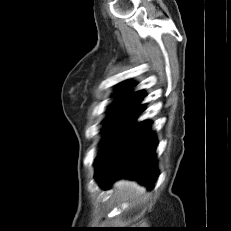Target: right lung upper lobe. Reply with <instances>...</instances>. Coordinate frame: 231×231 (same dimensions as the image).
<instances>
[{"instance_id": "right-lung-upper-lobe-1", "label": "right lung upper lobe", "mask_w": 231, "mask_h": 231, "mask_svg": "<svg viewBox=\"0 0 231 231\" xmlns=\"http://www.w3.org/2000/svg\"><path fill=\"white\" fill-rule=\"evenodd\" d=\"M135 84H125L117 89L115 95H120L119 99H130L141 102L145 97L142 91L131 92Z\"/></svg>"}]
</instances>
